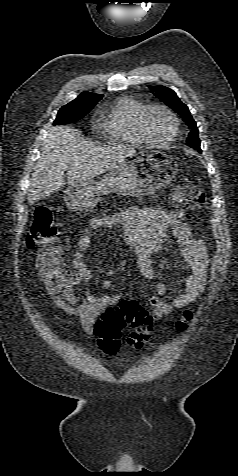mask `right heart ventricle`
<instances>
[{
  "mask_svg": "<svg viewBox=\"0 0 238 476\" xmlns=\"http://www.w3.org/2000/svg\"><path fill=\"white\" fill-rule=\"evenodd\" d=\"M145 104L133 97L117 98L105 118L104 129L111 142L132 146H144L149 142L142 135L138 117Z\"/></svg>",
  "mask_w": 238,
  "mask_h": 476,
  "instance_id": "1",
  "label": "right heart ventricle"
}]
</instances>
